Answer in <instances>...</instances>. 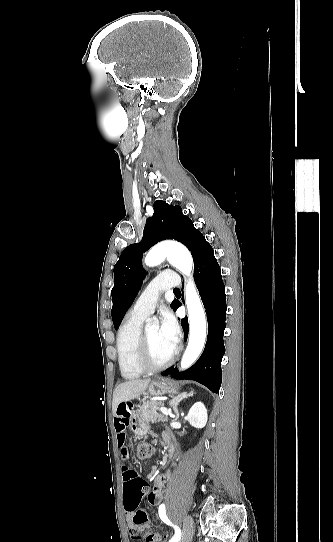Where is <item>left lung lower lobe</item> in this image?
Returning <instances> with one entry per match:
<instances>
[{
	"label": "left lung lower lobe",
	"instance_id": "1",
	"mask_svg": "<svg viewBox=\"0 0 333 542\" xmlns=\"http://www.w3.org/2000/svg\"><path fill=\"white\" fill-rule=\"evenodd\" d=\"M194 280L206 309L208 337L205 349L198 361L184 372L170 367L162 375L175 379L195 380L212 392L218 393L222 382L221 361L225 353L223 335L226 320L225 286L214 251L208 242L204 243L194 265ZM181 306L176 300L175 310ZM185 340L188 336V319L181 320Z\"/></svg>",
	"mask_w": 333,
	"mask_h": 542
}]
</instances>
